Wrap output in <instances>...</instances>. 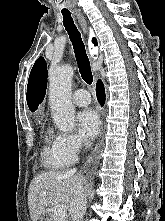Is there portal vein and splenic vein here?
Returning a JSON list of instances; mask_svg holds the SVG:
<instances>
[{
  "mask_svg": "<svg viewBox=\"0 0 165 221\" xmlns=\"http://www.w3.org/2000/svg\"><path fill=\"white\" fill-rule=\"evenodd\" d=\"M46 192H42L40 196H46ZM56 214L59 218L63 219L67 217V210L66 207L60 206L57 208Z\"/></svg>",
  "mask_w": 165,
  "mask_h": 221,
  "instance_id": "18ae733b",
  "label": "portal vein and splenic vein"
}]
</instances>
